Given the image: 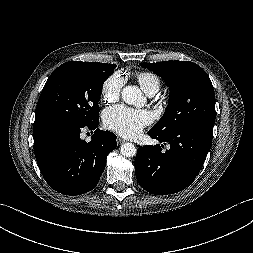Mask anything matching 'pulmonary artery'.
Here are the masks:
<instances>
[{
  "mask_svg": "<svg viewBox=\"0 0 253 253\" xmlns=\"http://www.w3.org/2000/svg\"><path fill=\"white\" fill-rule=\"evenodd\" d=\"M154 93H150V94H148V95H153Z\"/></svg>",
  "mask_w": 253,
  "mask_h": 253,
  "instance_id": "pulmonary-artery-1",
  "label": "pulmonary artery"
}]
</instances>
